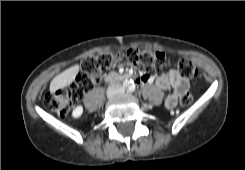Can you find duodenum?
Returning a JSON list of instances; mask_svg holds the SVG:
<instances>
[{"label": "duodenum", "instance_id": "1", "mask_svg": "<svg viewBox=\"0 0 245 170\" xmlns=\"http://www.w3.org/2000/svg\"><path fill=\"white\" fill-rule=\"evenodd\" d=\"M132 75H123V76H120V75H117V74H111V75H108L107 76V80L110 81V82H114V81H117L119 80L120 78H131Z\"/></svg>", "mask_w": 245, "mask_h": 170}]
</instances>
